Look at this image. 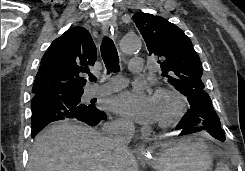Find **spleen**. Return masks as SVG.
Listing matches in <instances>:
<instances>
[{"instance_id":"3e777b00","label":"spleen","mask_w":245,"mask_h":171,"mask_svg":"<svg viewBox=\"0 0 245 171\" xmlns=\"http://www.w3.org/2000/svg\"><path fill=\"white\" fill-rule=\"evenodd\" d=\"M215 171H230L229 167L223 162H218Z\"/></svg>"}]
</instances>
